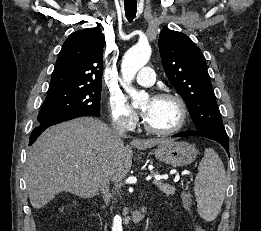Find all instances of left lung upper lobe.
Wrapping results in <instances>:
<instances>
[{
  "instance_id": "1",
  "label": "left lung upper lobe",
  "mask_w": 261,
  "mask_h": 231,
  "mask_svg": "<svg viewBox=\"0 0 261 231\" xmlns=\"http://www.w3.org/2000/svg\"><path fill=\"white\" fill-rule=\"evenodd\" d=\"M159 50L165 73L184 99L197 131L228 140L201 50L188 36L167 27L160 33Z\"/></svg>"
}]
</instances>
